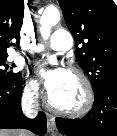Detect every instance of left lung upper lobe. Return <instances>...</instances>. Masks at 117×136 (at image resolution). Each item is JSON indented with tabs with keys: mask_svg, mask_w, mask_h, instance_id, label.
<instances>
[{
	"mask_svg": "<svg viewBox=\"0 0 117 136\" xmlns=\"http://www.w3.org/2000/svg\"><path fill=\"white\" fill-rule=\"evenodd\" d=\"M75 39L76 59L94 93L117 79V7L113 0H58Z\"/></svg>",
	"mask_w": 117,
	"mask_h": 136,
	"instance_id": "1",
	"label": "left lung upper lobe"
}]
</instances>
